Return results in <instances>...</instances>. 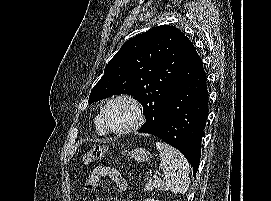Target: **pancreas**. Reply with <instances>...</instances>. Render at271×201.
Instances as JSON below:
<instances>
[{"mask_svg": "<svg viewBox=\"0 0 271 201\" xmlns=\"http://www.w3.org/2000/svg\"><path fill=\"white\" fill-rule=\"evenodd\" d=\"M154 188L159 190H166L165 186L160 181H148L145 185L144 191H153Z\"/></svg>", "mask_w": 271, "mask_h": 201, "instance_id": "cf45deb5", "label": "pancreas"}]
</instances>
